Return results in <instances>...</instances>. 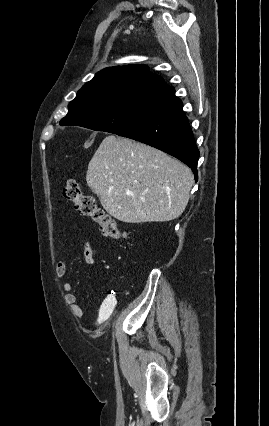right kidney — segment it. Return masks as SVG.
<instances>
[{"instance_id": "right-kidney-1", "label": "right kidney", "mask_w": 269, "mask_h": 426, "mask_svg": "<svg viewBox=\"0 0 269 426\" xmlns=\"http://www.w3.org/2000/svg\"><path fill=\"white\" fill-rule=\"evenodd\" d=\"M115 305H116V301L113 297H107L104 300L99 311L98 323H102L103 321L107 320L110 317V315L112 314L114 310Z\"/></svg>"}]
</instances>
